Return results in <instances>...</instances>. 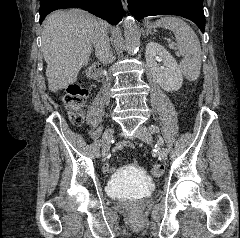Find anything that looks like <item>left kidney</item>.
<instances>
[{
  "label": "left kidney",
  "instance_id": "obj_1",
  "mask_svg": "<svg viewBox=\"0 0 240 238\" xmlns=\"http://www.w3.org/2000/svg\"><path fill=\"white\" fill-rule=\"evenodd\" d=\"M147 65L156 82L167 92L178 91L183 83L182 71L172 55L160 44L150 41L146 45ZM157 62H162L159 66Z\"/></svg>",
  "mask_w": 240,
  "mask_h": 238
}]
</instances>
